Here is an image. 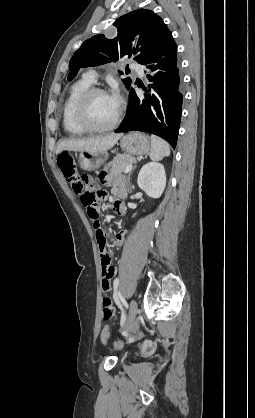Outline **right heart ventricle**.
I'll list each match as a JSON object with an SVG mask.
<instances>
[{"instance_id":"1","label":"right heart ventricle","mask_w":255,"mask_h":418,"mask_svg":"<svg viewBox=\"0 0 255 418\" xmlns=\"http://www.w3.org/2000/svg\"><path fill=\"white\" fill-rule=\"evenodd\" d=\"M92 86V82L86 77L75 82L69 90L62 108V123L65 131L72 136H80L86 133L75 120V109L81 95Z\"/></svg>"}]
</instances>
